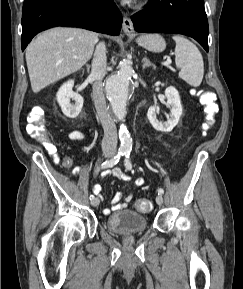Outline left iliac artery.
Here are the masks:
<instances>
[{"mask_svg":"<svg viewBox=\"0 0 243 289\" xmlns=\"http://www.w3.org/2000/svg\"><path fill=\"white\" fill-rule=\"evenodd\" d=\"M125 155V166L127 169H132V163L130 161V151H126L124 152ZM158 194L159 195H163L164 194V190L162 188L158 189Z\"/></svg>","mask_w":243,"mask_h":289,"instance_id":"44dca946","label":"left iliac artery"}]
</instances>
